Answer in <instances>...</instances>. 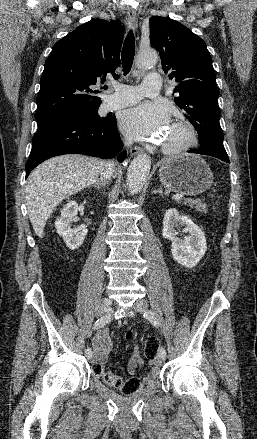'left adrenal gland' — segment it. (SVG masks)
I'll return each mask as SVG.
<instances>
[{"label": "left adrenal gland", "mask_w": 257, "mask_h": 439, "mask_svg": "<svg viewBox=\"0 0 257 439\" xmlns=\"http://www.w3.org/2000/svg\"><path fill=\"white\" fill-rule=\"evenodd\" d=\"M154 193L163 195L162 187L160 186L157 190L154 191Z\"/></svg>", "instance_id": "a2214340"}]
</instances>
